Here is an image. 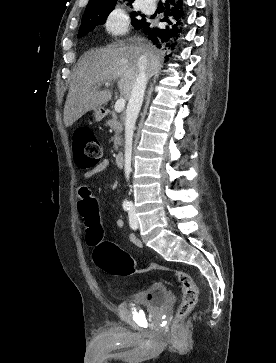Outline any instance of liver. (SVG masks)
Instances as JSON below:
<instances>
[{
	"instance_id": "1",
	"label": "liver",
	"mask_w": 276,
	"mask_h": 363,
	"mask_svg": "<svg viewBox=\"0 0 276 363\" xmlns=\"http://www.w3.org/2000/svg\"><path fill=\"white\" fill-rule=\"evenodd\" d=\"M129 42H114L84 55L70 83L64 107L65 127L71 126L85 113L101 108L111 99V92L98 91V85L118 80L121 95L129 99L139 75V63L144 65L147 78L159 73L161 57L158 50L139 37L131 38Z\"/></svg>"
}]
</instances>
